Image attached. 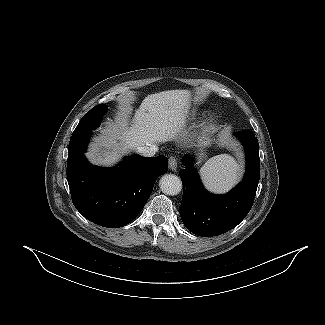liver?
I'll list each match as a JSON object with an SVG mask.
<instances>
[{
  "label": "liver",
  "instance_id": "obj_1",
  "mask_svg": "<svg viewBox=\"0 0 325 325\" xmlns=\"http://www.w3.org/2000/svg\"><path fill=\"white\" fill-rule=\"evenodd\" d=\"M189 109L190 92L187 90L148 95L135 111L130 127V110L125 108L117 119L119 129L112 127L105 130L104 136L96 140L93 162L109 166L127 151L175 139L185 126Z\"/></svg>",
  "mask_w": 325,
  "mask_h": 325
}]
</instances>
